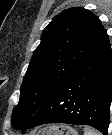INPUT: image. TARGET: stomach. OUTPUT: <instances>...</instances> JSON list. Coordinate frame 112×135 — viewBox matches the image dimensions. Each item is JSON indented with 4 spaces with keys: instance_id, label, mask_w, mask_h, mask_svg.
<instances>
[{
    "instance_id": "0dacf381",
    "label": "stomach",
    "mask_w": 112,
    "mask_h": 135,
    "mask_svg": "<svg viewBox=\"0 0 112 135\" xmlns=\"http://www.w3.org/2000/svg\"><path fill=\"white\" fill-rule=\"evenodd\" d=\"M42 135H77V132L66 125H53L45 129Z\"/></svg>"
}]
</instances>
